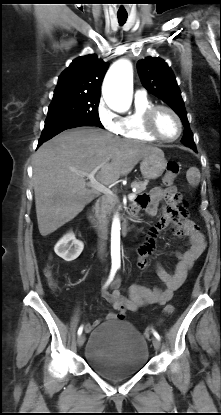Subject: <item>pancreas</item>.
<instances>
[{
  "instance_id": "pancreas-1",
  "label": "pancreas",
  "mask_w": 221,
  "mask_h": 415,
  "mask_svg": "<svg viewBox=\"0 0 221 415\" xmlns=\"http://www.w3.org/2000/svg\"><path fill=\"white\" fill-rule=\"evenodd\" d=\"M147 184H148V181L132 182L131 187L136 188V191L134 194L136 195L146 190ZM118 203H119V200L116 195L105 194L96 202L95 210L98 214L105 216L107 214H110L114 210L115 205H117Z\"/></svg>"
}]
</instances>
